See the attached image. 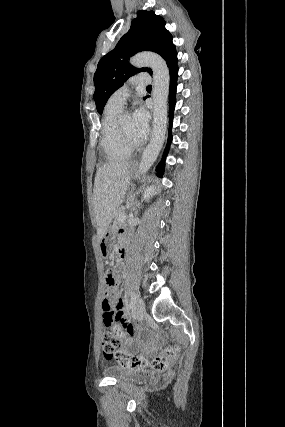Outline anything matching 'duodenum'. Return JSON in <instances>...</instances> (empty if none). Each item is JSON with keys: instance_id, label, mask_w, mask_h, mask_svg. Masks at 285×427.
<instances>
[{"instance_id": "obj_1", "label": "duodenum", "mask_w": 285, "mask_h": 427, "mask_svg": "<svg viewBox=\"0 0 285 427\" xmlns=\"http://www.w3.org/2000/svg\"><path fill=\"white\" fill-rule=\"evenodd\" d=\"M128 251V245L126 243H121L118 247L119 258H124Z\"/></svg>"}]
</instances>
